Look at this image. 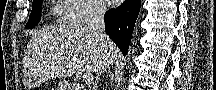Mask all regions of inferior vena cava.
Wrapping results in <instances>:
<instances>
[{
	"label": "inferior vena cava",
	"instance_id": "1",
	"mask_svg": "<svg viewBox=\"0 0 216 90\" xmlns=\"http://www.w3.org/2000/svg\"><path fill=\"white\" fill-rule=\"evenodd\" d=\"M106 12V4H100V2L92 4V6L89 8L90 18L86 26L88 32H92V34H95V36H99V40L101 42L104 64L101 66V68H98V74H104V72L108 70L109 66H112L110 42L105 32L104 16Z\"/></svg>",
	"mask_w": 216,
	"mask_h": 90
}]
</instances>
